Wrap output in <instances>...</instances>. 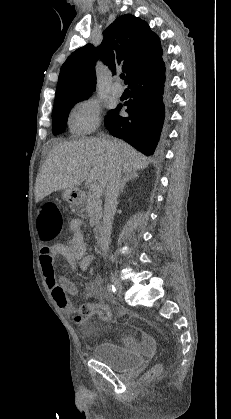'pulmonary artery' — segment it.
Wrapping results in <instances>:
<instances>
[{
	"instance_id": "pulmonary-artery-1",
	"label": "pulmonary artery",
	"mask_w": 231,
	"mask_h": 419,
	"mask_svg": "<svg viewBox=\"0 0 231 419\" xmlns=\"http://www.w3.org/2000/svg\"><path fill=\"white\" fill-rule=\"evenodd\" d=\"M111 93L114 97H121L123 94V88L122 86L116 82L111 87Z\"/></svg>"
}]
</instances>
